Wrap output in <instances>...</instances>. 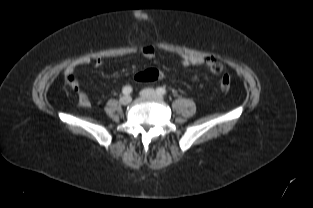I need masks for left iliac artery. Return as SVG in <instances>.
<instances>
[{
	"mask_svg": "<svg viewBox=\"0 0 313 208\" xmlns=\"http://www.w3.org/2000/svg\"><path fill=\"white\" fill-rule=\"evenodd\" d=\"M156 92L159 94V95H165L166 94V90L162 87H158L156 89Z\"/></svg>",
	"mask_w": 313,
	"mask_h": 208,
	"instance_id": "1",
	"label": "left iliac artery"
}]
</instances>
